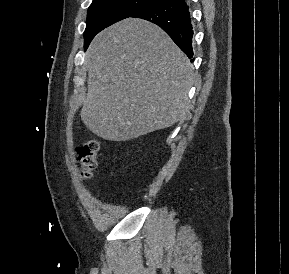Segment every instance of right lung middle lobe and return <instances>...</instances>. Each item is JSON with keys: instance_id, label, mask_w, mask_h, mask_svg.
<instances>
[{"instance_id": "obj_1", "label": "right lung middle lobe", "mask_w": 289, "mask_h": 274, "mask_svg": "<svg viewBox=\"0 0 289 274\" xmlns=\"http://www.w3.org/2000/svg\"><path fill=\"white\" fill-rule=\"evenodd\" d=\"M163 0H93L87 15L84 48L104 28Z\"/></svg>"}]
</instances>
